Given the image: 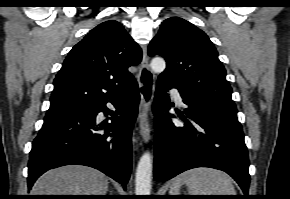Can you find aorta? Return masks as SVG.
Instances as JSON below:
<instances>
[{
  "instance_id": "762f6f07",
  "label": "aorta",
  "mask_w": 290,
  "mask_h": 199,
  "mask_svg": "<svg viewBox=\"0 0 290 199\" xmlns=\"http://www.w3.org/2000/svg\"><path fill=\"white\" fill-rule=\"evenodd\" d=\"M151 69L156 73H161L166 68L165 60L161 57H155L150 63ZM153 174L152 157L149 152H145L137 165L135 178V193L136 195H150L151 179Z\"/></svg>"
}]
</instances>
